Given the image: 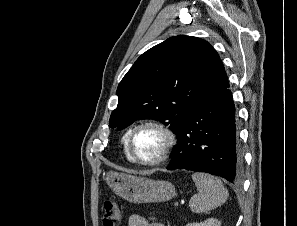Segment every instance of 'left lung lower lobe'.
Wrapping results in <instances>:
<instances>
[{"mask_svg": "<svg viewBox=\"0 0 297 226\" xmlns=\"http://www.w3.org/2000/svg\"><path fill=\"white\" fill-rule=\"evenodd\" d=\"M229 86L208 91L182 122L168 170L186 169L241 180L235 106Z\"/></svg>", "mask_w": 297, "mask_h": 226, "instance_id": "obj_1", "label": "left lung lower lobe"}]
</instances>
